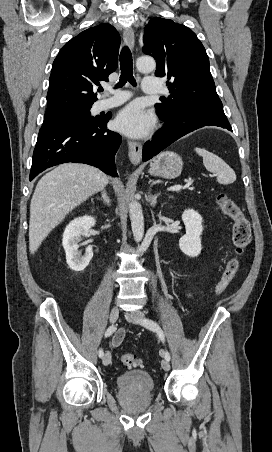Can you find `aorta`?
<instances>
[{
  "mask_svg": "<svg viewBox=\"0 0 272 452\" xmlns=\"http://www.w3.org/2000/svg\"><path fill=\"white\" fill-rule=\"evenodd\" d=\"M137 69L140 72H152L156 63L152 57H140L136 61ZM129 216L133 237L136 242H140L144 236V216L139 202L132 200L129 203Z\"/></svg>",
  "mask_w": 272,
  "mask_h": 452,
  "instance_id": "obj_1",
  "label": "aorta"
}]
</instances>
